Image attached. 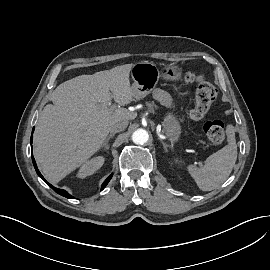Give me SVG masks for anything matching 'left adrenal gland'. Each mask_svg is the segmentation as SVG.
I'll return each mask as SVG.
<instances>
[{"label":"left adrenal gland","mask_w":270,"mask_h":270,"mask_svg":"<svg viewBox=\"0 0 270 270\" xmlns=\"http://www.w3.org/2000/svg\"><path fill=\"white\" fill-rule=\"evenodd\" d=\"M162 145H163V148L167 151V145L164 142H162Z\"/></svg>","instance_id":"a2214340"}]
</instances>
